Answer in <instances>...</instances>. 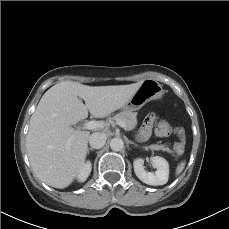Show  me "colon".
Listing matches in <instances>:
<instances>
[{
  "label": "colon",
  "mask_w": 229,
  "mask_h": 229,
  "mask_svg": "<svg viewBox=\"0 0 229 229\" xmlns=\"http://www.w3.org/2000/svg\"><path fill=\"white\" fill-rule=\"evenodd\" d=\"M155 133L161 137H167L173 133L177 134L179 138L177 153L182 151L185 142V133L182 128H173L172 125L167 121H160L155 128Z\"/></svg>",
  "instance_id": "1"
}]
</instances>
